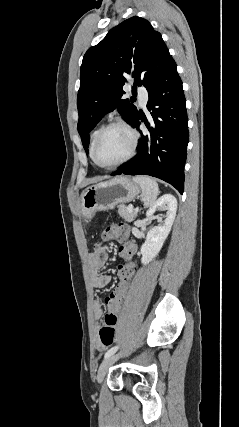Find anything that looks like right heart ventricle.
I'll return each instance as SVG.
<instances>
[{"label":"right heart ventricle","mask_w":239,"mask_h":427,"mask_svg":"<svg viewBox=\"0 0 239 427\" xmlns=\"http://www.w3.org/2000/svg\"><path fill=\"white\" fill-rule=\"evenodd\" d=\"M99 130H100V128H97V129H95V130L92 132V134H91V138H90V146H89V152H90V155H91V149H92L93 142H94L95 137H96L97 133L99 132Z\"/></svg>","instance_id":"obj_1"}]
</instances>
